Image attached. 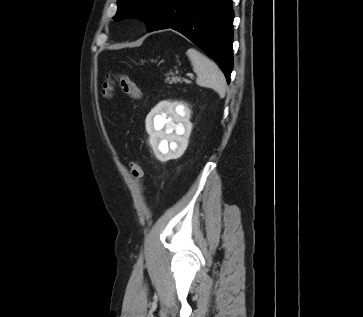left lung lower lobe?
Returning a JSON list of instances; mask_svg holds the SVG:
<instances>
[{
    "label": "left lung lower lobe",
    "instance_id": "obj_1",
    "mask_svg": "<svg viewBox=\"0 0 363 317\" xmlns=\"http://www.w3.org/2000/svg\"><path fill=\"white\" fill-rule=\"evenodd\" d=\"M231 0H163L147 31L174 29L201 47L230 82L233 69Z\"/></svg>",
    "mask_w": 363,
    "mask_h": 317
}]
</instances>
